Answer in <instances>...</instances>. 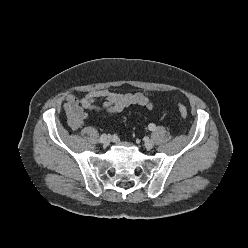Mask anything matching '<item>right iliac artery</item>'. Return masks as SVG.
<instances>
[{
	"instance_id": "right-iliac-artery-1",
	"label": "right iliac artery",
	"mask_w": 248,
	"mask_h": 248,
	"mask_svg": "<svg viewBox=\"0 0 248 248\" xmlns=\"http://www.w3.org/2000/svg\"><path fill=\"white\" fill-rule=\"evenodd\" d=\"M105 137H106V134L105 133L101 135L100 140H99V143L100 144H103L104 143Z\"/></svg>"
}]
</instances>
